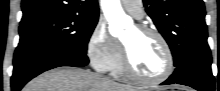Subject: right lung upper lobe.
<instances>
[{"label":"right lung upper lobe","mask_w":220,"mask_h":91,"mask_svg":"<svg viewBox=\"0 0 220 91\" xmlns=\"http://www.w3.org/2000/svg\"><path fill=\"white\" fill-rule=\"evenodd\" d=\"M22 11L20 24L59 14L99 15L97 0H23Z\"/></svg>","instance_id":"1"}]
</instances>
